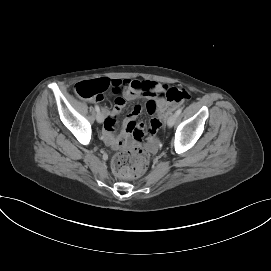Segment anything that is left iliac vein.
Segmentation results:
<instances>
[{
    "label": "left iliac vein",
    "mask_w": 271,
    "mask_h": 271,
    "mask_svg": "<svg viewBox=\"0 0 271 271\" xmlns=\"http://www.w3.org/2000/svg\"><path fill=\"white\" fill-rule=\"evenodd\" d=\"M176 119H177L176 113L170 115V117H169L168 120H167V126H168V127H172V126L175 124Z\"/></svg>",
    "instance_id": "4c4485c4"
}]
</instances>
